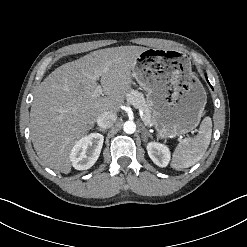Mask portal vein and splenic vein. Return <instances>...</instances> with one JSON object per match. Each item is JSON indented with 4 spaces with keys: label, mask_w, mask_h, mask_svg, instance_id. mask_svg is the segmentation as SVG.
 Wrapping results in <instances>:
<instances>
[{
    "label": "portal vein and splenic vein",
    "mask_w": 247,
    "mask_h": 247,
    "mask_svg": "<svg viewBox=\"0 0 247 247\" xmlns=\"http://www.w3.org/2000/svg\"><path fill=\"white\" fill-rule=\"evenodd\" d=\"M99 77H100V71L97 70V71H95L94 78H95V79H99ZM102 92H103V90H102L101 85H98V86L95 88V90H94V96H101V95L103 94ZM142 116H143V114H142V112H141V118H142Z\"/></svg>",
    "instance_id": "obj_1"
}]
</instances>
